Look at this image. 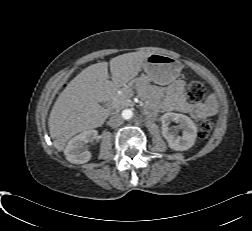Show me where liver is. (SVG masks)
Masks as SVG:
<instances>
[{
	"label": "liver",
	"mask_w": 252,
	"mask_h": 231,
	"mask_svg": "<svg viewBox=\"0 0 252 231\" xmlns=\"http://www.w3.org/2000/svg\"><path fill=\"white\" fill-rule=\"evenodd\" d=\"M151 54L132 52L111 59V81L108 62L92 64L70 81L58 96L48 119L54 147L63 151L74 135L100 127L109 114L100 103L109 102L121 87L127 90Z\"/></svg>",
	"instance_id": "obj_1"
}]
</instances>
